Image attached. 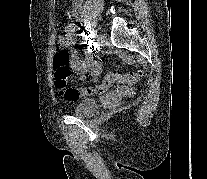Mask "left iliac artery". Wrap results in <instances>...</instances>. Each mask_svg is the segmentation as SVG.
Listing matches in <instances>:
<instances>
[{
  "label": "left iliac artery",
  "instance_id": "obj_1",
  "mask_svg": "<svg viewBox=\"0 0 207 179\" xmlns=\"http://www.w3.org/2000/svg\"><path fill=\"white\" fill-rule=\"evenodd\" d=\"M92 39L94 40V45H97V41L99 40V36H98L97 30L93 31Z\"/></svg>",
  "mask_w": 207,
  "mask_h": 179
}]
</instances>
